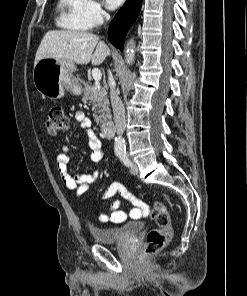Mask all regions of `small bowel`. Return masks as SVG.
I'll use <instances>...</instances> for the list:
<instances>
[{
    "mask_svg": "<svg viewBox=\"0 0 247 296\" xmlns=\"http://www.w3.org/2000/svg\"><path fill=\"white\" fill-rule=\"evenodd\" d=\"M76 120L79 125L83 129H86L88 132L87 146L91 150L90 161L93 165H97L103 157V152L101 150L99 140L92 128V123L90 119L82 112H78L76 114ZM69 160V148L67 146H63L61 151L56 156V168L67 189L74 191L77 196H81L87 191L89 185L99 177L100 171L96 169L90 174H77L75 176H71L67 172V165ZM115 195L121 196L123 199L129 201L135 206V208L131 209L130 211V216L132 218H135L134 212H140L142 206L144 205L143 202L133 196L122 183L116 181L112 182L108 186L103 195V199L110 200ZM135 200H138L139 204H136L134 202ZM120 208V201H112L109 205V212H102L97 214V221L101 224H120L124 222L126 219V213Z\"/></svg>",
    "mask_w": 247,
    "mask_h": 296,
    "instance_id": "c3829d8e",
    "label": "small bowel"
}]
</instances>
